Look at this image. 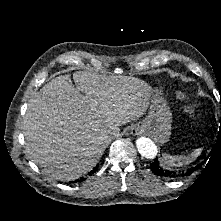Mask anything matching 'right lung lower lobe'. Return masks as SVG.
<instances>
[{
  "label": "right lung lower lobe",
  "instance_id": "obj_1",
  "mask_svg": "<svg viewBox=\"0 0 221 221\" xmlns=\"http://www.w3.org/2000/svg\"><path fill=\"white\" fill-rule=\"evenodd\" d=\"M95 170H96V168H94V170H92L90 173H94V172H95ZM90 173H89V174H90ZM74 182H76V181H74Z\"/></svg>",
  "mask_w": 221,
  "mask_h": 221
}]
</instances>
